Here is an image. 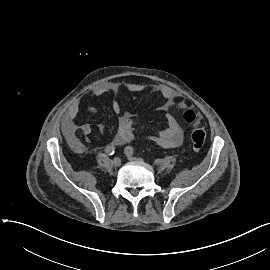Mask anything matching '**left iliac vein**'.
<instances>
[{
  "instance_id": "obj_1",
  "label": "left iliac vein",
  "mask_w": 270,
  "mask_h": 270,
  "mask_svg": "<svg viewBox=\"0 0 270 270\" xmlns=\"http://www.w3.org/2000/svg\"><path fill=\"white\" fill-rule=\"evenodd\" d=\"M127 158L131 161H135V160H138L136 157L132 156L131 154H128V153H125Z\"/></svg>"
}]
</instances>
